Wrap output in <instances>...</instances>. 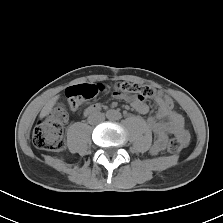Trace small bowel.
Returning a JSON list of instances; mask_svg holds the SVG:
<instances>
[{
	"label": "small bowel",
	"mask_w": 223,
	"mask_h": 223,
	"mask_svg": "<svg viewBox=\"0 0 223 223\" xmlns=\"http://www.w3.org/2000/svg\"><path fill=\"white\" fill-rule=\"evenodd\" d=\"M126 100L139 113L145 114L149 111L148 105L135 96H128ZM154 101L157 107L156 113L148 118L149 127L155 136L151 152L154 155L162 153L165 150L170 135L176 136L183 145H187L189 142V133L185 129L182 115L174 109H168L159 97H156ZM100 109V104H92L86 108L84 114L89 115Z\"/></svg>",
	"instance_id": "obj_1"
}]
</instances>
